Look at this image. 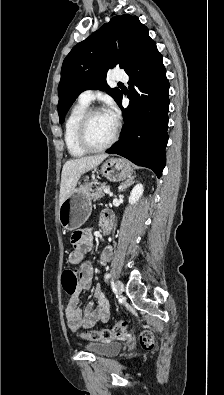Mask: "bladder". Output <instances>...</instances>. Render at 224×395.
Here are the masks:
<instances>
[{
    "mask_svg": "<svg viewBox=\"0 0 224 395\" xmlns=\"http://www.w3.org/2000/svg\"><path fill=\"white\" fill-rule=\"evenodd\" d=\"M84 348L97 356H112L118 354L122 349L119 342L102 341L86 344Z\"/></svg>",
    "mask_w": 224,
    "mask_h": 395,
    "instance_id": "obj_1",
    "label": "bladder"
}]
</instances>
